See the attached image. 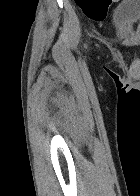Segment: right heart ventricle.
<instances>
[{
  "label": "right heart ventricle",
  "mask_w": 140,
  "mask_h": 196,
  "mask_svg": "<svg viewBox=\"0 0 140 196\" xmlns=\"http://www.w3.org/2000/svg\"><path fill=\"white\" fill-rule=\"evenodd\" d=\"M92 192H110V191H92Z\"/></svg>",
  "instance_id": "right-heart-ventricle-1"
}]
</instances>
